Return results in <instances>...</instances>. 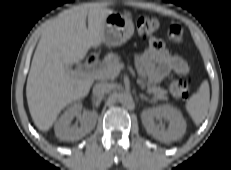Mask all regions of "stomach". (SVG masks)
Returning a JSON list of instances; mask_svg holds the SVG:
<instances>
[{
    "instance_id": "obj_1",
    "label": "stomach",
    "mask_w": 231,
    "mask_h": 170,
    "mask_svg": "<svg viewBox=\"0 0 231 170\" xmlns=\"http://www.w3.org/2000/svg\"><path fill=\"white\" fill-rule=\"evenodd\" d=\"M134 24L129 14L113 12L102 26L103 42L108 46H120L131 38Z\"/></svg>"
}]
</instances>
